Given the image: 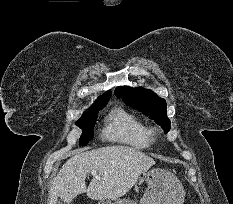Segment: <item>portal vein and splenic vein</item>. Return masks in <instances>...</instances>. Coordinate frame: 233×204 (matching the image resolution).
<instances>
[{"mask_svg":"<svg viewBox=\"0 0 233 204\" xmlns=\"http://www.w3.org/2000/svg\"><path fill=\"white\" fill-rule=\"evenodd\" d=\"M91 174H92V175H96V171H94V170L91 171Z\"/></svg>","mask_w":233,"mask_h":204,"instance_id":"portal-vein-and-splenic-vein-1","label":"portal vein and splenic vein"}]
</instances>
